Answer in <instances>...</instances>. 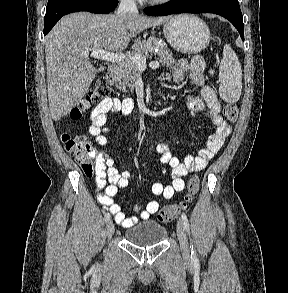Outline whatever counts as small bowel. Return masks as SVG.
Returning <instances> with one entry per match:
<instances>
[{"mask_svg": "<svg viewBox=\"0 0 288 293\" xmlns=\"http://www.w3.org/2000/svg\"><path fill=\"white\" fill-rule=\"evenodd\" d=\"M203 70L204 62L199 56L193 58L191 62L180 59L172 69V75L176 82L183 81L185 75L190 72V80L199 87L200 96L189 95L187 97V107L192 116L198 113H205L215 127V131L210 135L206 146L196 156L188 155L184 161H180L175 157L167 144L159 143L156 146L160 162L171 169L170 173L167 170H164L163 173L165 175L170 174L172 181L168 185L160 182L153 183L151 192L156 196H162L164 199H171L176 192L182 191L185 187L184 176L190 172L204 169L231 133V126L220 114L221 105L215 91L205 82ZM133 107L134 103L130 98H107L93 109L90 115L89 133L95 137L99 146L105 147L108 145V127L106 126L108 115L115 113L129 115ZM95 174L99 203L114 216L115 222L122 227H131L139 219L147 220L158 211L159 203L152 200L146 205L138 204L135 206V211L139 212V217L125 216L121 207L114 203L113 197L120 189L128 186L130 173L125 170L119 171L115 166L114 158L103 151L97 154Z\"/></svg>", "mask_w": 288, "mask_h": 293, "instance_id": "small-bowel-1", "label": "small bowel"}]
</instances>
